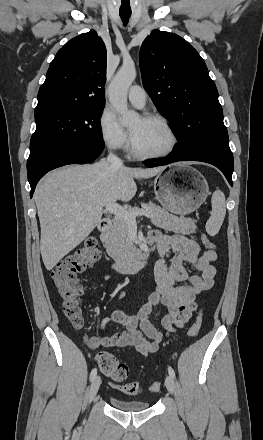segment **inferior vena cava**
Returning a JSON list of instances; mask_svg holds the SVG:
<instances>
[{
    "mask_svg": "<svg viewBox=\"0 0 263 440\" xmlns=\"http://www.w3.org/2000/svg\"><path fill=\"white\" fill-rule=\"evenodd\" d=\"M107 162L112 165L113 167H122L123 161L114 155L112 152H110L107 156Z\"/></svg>",
    "mask_w": 263,
    "mask_h": 440,
    "instance_id": "602c4592",
    "label": "inferior vena cava"
}]
</instances>
